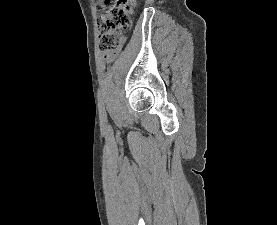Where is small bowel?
Here are the masks:
<instances>
[{"mask_svg": "<svg viewBox=\"0 0 277 225\" xmlns=\"http://www.w3.org/2000/svg\"><path fill=\"white\" fill-rule=\"evenodd\" d=\"M113 58H114V55H105V56H104V59H105L106 61H111V60H113Z\"/></svg>", "mask_w": 277, "mask_h": 225, "instance_id": "1", "label": "small bowel"}]
</instances>
